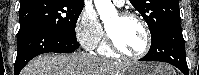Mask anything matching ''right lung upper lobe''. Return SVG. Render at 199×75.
Instances as JSON below:
<instances>
[{
	"label": "right lung upper lobe",
	"mask_w": 199,
	"mask_h": 75,
	"mask_svg": "<svg viewBox=\"0 0 199 75\" xmlns=\"http://www.w3.org/2000/svg\"><path fill=\"white\" fill-rule=\"evenodd\" d=\"M30 1H35V0H21V3H26ZM67 1L75 2V3H84V0H67Z\"/></svg>",
	"instance_id": "right-lung-upper-lobe-1"
}]
</instances>
